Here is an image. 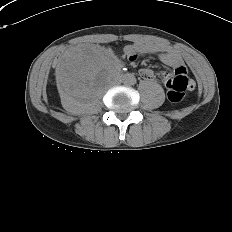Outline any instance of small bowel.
<instances>
[{
    "label": "small bowel",
    "mask_w": 232,
    "mask_h": 232,
    "mask_svg": "<svg viewBox=\"0 0 232 232\" xmlns=\"http://www.w3.org/2000/svg\"><path fill=\"white\" fill-rule=\"evenodd\" d=\"M125 52L130 56V60L133 63H135L137 55L156 54L162 63L173 67L176 74H183L187 76V69L181 55L178 51L167 45L150 41H137L128 45L125 48ZM139 74L146 80L153 79V72L150 69L142 68L139 70ZM166 76H168V74H164V79ZM189 81V89L195 88L194 81L192 79H189Z\"/></svg>",
    "instance_id": "obj_1"
}]
</instances>
